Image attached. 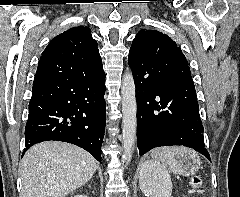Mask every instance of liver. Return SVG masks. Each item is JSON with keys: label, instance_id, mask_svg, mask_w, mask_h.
I'll return each mask as SVG.
<instances>
[{"label": "liver", "instance_id": "liver-1", "mask_svg": "<svg viewBox=\"0 0 240 197\" xmlns=\"http://www.w3.org/2000/svg\"><path fill=\"white\" fill-rule=\"evenodd\" d=\"M96 169L95 158L76 145L38 143L21 160L20 197H64L88 182Z\"/></svg>", "mask_w": 240, "mask_h": 197}]
</instances>
